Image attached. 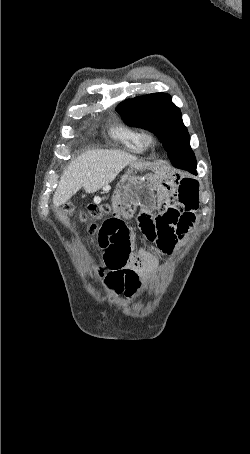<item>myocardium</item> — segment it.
Masks as SVG:
<instances>
[{
	"label": "myocardium",
	"instance_id": "1",
	"mask_svg": "<svg viewBox=\"0 0 250 454\" xmlns=\"http://www.w3.org/2000/svg\"><path fill=\"white\" fill-rule=\"evenodd\" d=\"M142 142L145 147H151L155 144V136L150 131H145L142 133Z\"/></svg>",
	"mask_w": 250,
	"mask_h": 454
}]
</instances>
